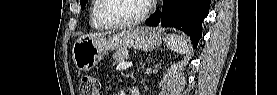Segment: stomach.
<instances>
[{
    "instance_id": "0dacf381",
    "label": "stomach",
    "mask_w": 277,
    "mask_h": 95,
    "mask_svg": "<svg viewBox=\"0 0 277 95\" xmlns=\"http://www.w3.org/2000/svg\"><path fill=\"white\" fill-rule=\"evenodd\" d=\"M162 34L153 28H132L123 30L109 37H80L72 48V59L80 71H89L110 50L122 47H133L143 51H151L162 43Z\"/></svg>"
}]
</instances>
